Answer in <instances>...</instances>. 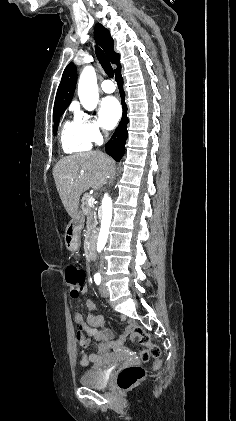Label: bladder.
<instances>
[{
  "label": "bladder",
  "mask_w": 236,
  "mask_h": 421,
  "mask_svg": "<svg viewBox=\"0 0 236 421\" xmlns=\"http://www.w3.org/2000/svg\"><path fill=\"white\" fill-rule=\"evenodd\" d=\"M79 382L85 386H92L96 388L106 387L107 384V381L104 379L102 372L94 366H90L89 368L82 371Z\"/></svg>",
  "instance_id": "1"
}]
</instances>
